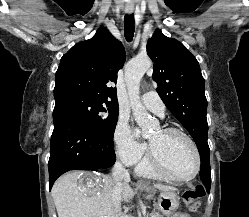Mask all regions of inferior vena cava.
<instances>
[{
    "mask_svg": "<svg viewBox=\"0 0 249 217\" xmlns=\"http://www.w3.org/2000/svg\"><path fill=\"white\" fill-rule=\"evenodd\" d=\"M112 179L114 182L112 190V201L115 205H119L121 201L123 181H129L130 175L120 162H116L112 169Z\"/></svg>",
    "mask_w": 249,
    "mask_h": 217,
    "instance_id": "602c4592",
    "label": "inferior vena cava"
}]
</instances>
